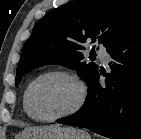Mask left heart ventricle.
Listing matches in <instances>:
<instances>
[{"label":"left heart ventricle","instance_id":"1","mask_svg":"<svg viewBox=\"0 0 141 139\" xmlns=\"http://www.w3.org/2000/svg\"><path fill=\"white\" fill-rule=\"evenodd\" d=\"M78 98L76 84L62 76H50L39 81L32 92L35 112L51 117L68 110Z\"/></svg>","mask_w":141,"mask_h":139}]
</instances>
